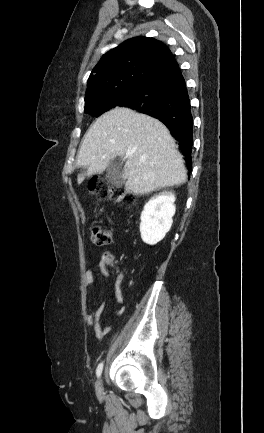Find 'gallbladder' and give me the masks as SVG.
Returning <instances> with one entry per match:
<instances>
[{
	"label": "gallbladder",
	"instance_id": "gallbladder-1",
	"mask_svg": "<svg viewBox=\"0 0 264 433\" xmlns=\"http://www.w3.org/2000/svg\"><path fill=\"white\" fill-rule=\"evenodd\" d=\"M106 178L116 187H121L123 185V178L121 176L120 166L117 161H110L106 170Z\"/></svg>",
	"mask_w": 264,
	"mask_h": 433
}]
</instances>
